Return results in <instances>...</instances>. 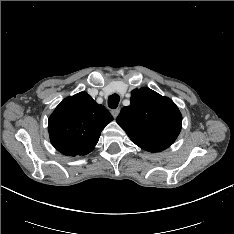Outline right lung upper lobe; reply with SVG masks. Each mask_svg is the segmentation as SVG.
Here are the masks:
<instances>
[{"label": "right lung upper lobe", "instance_id": "right-lung-upper-lobe-1", "mask_svg": "<svg viewBox=\"0 0 234 234\" xmlns=\"http://www.w3.org/2000/svg\"><path fill=\"white\" fill-rule=\"evenodd\" d=\"M113 120L109 111L86 92L67 97L49 117L52 145L62 154L76 156L91 152L101 131Z\"/></svg>", "mask_w": 234, "mask_h": 234}]
</instances>
